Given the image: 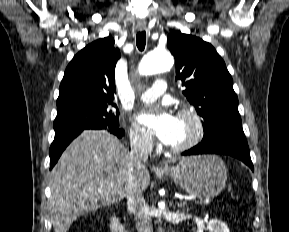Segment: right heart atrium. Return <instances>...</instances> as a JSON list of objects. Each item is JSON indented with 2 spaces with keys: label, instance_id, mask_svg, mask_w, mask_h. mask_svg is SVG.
Returning a JSON list of instances; mask_svg holds the SVG:
<instances>
[{
  "label": "right heart atrium",
  "instance_id": "d8ad5b80",
  "mask_svg": "<svg viewBox=\"0 0 289 232\" xmlns=\"http://www.w3.org/2000/svg\"><path fill=\"white\" fill-rule=\"evenodd\" d=\"M129 139L132 147L142 152L151 151L154 145L152 138L146 132L134 126L129 130Z\"/></svg>",
  "mask_w": 289,
  "mask_h": 232
}]
</instances>
